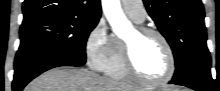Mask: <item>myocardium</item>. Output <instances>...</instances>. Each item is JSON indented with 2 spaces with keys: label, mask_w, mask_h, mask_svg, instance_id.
I'll list each match as a JSON object with an SVG mask.
<instances>
[{
  "label": "myocardium",
  "mask_w": 220,
  "mask_h": 91,
  "mask_svg": "<svg viewBox=\"0 0 220 91\" xmlns=\"http://www.w3.org/2000/svg\"><path fill=\"white\" fill-rule=\"evenodd\" d=\"M134 31L138 37L154 36L158 38L167 52L169 66L167 73L163 75L161 78L148 79L144 77L136 67L131 43L124 40L123 41L124 65L129 77H131L133 80L145 86H158L166 83L172 78L176 69V58L170 42L160 31L155 30L151 27L136 26L134 28Z\"/></svg>",
  "instance_id": "myocardium-1"
}]
</instances>
